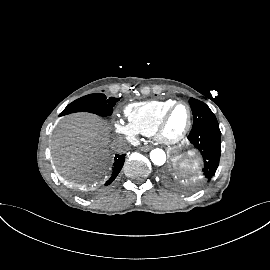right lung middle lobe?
<instances>
[{"label": "right lung middle lobe", "instance_id": "dd1d6c3e", "mask_svg": "<svg viewBox=\"0 0 270 270\" xmlns=\"http://www.w3.org/2000/svg\"><path fill=\"white\" fill-rule=\"evenodd\" d=\"M117 101L119 98L106 99L104 94H89L70 103L60 116L74 112H90L100 116H109Z\"/></svg>", "mask_w": 270, "mask_h": 270}]
</instances>
